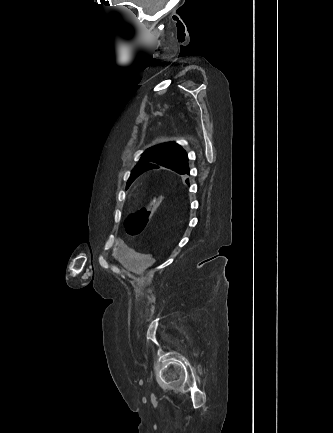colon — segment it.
I'll use <instances>...</instances> for the list:
<instances>
[{
  "mask_svg": "<svg viewBox=\"0 0 333 433\" xmlns=\"http://www.w3.org/2000/svg\"><path fill=\"white\" fill-rule=\"evenodd\" d=\"M162 200V196L154 197L148 206L131 213L127 217L125 221V228L129 236L135 237L140 235L144 231L151 218L157 211L158 207L160 206Z\"/></svg>",
  "mask_w": 333,
  "mask_h": 433,
  "instance_id": "obj_1",
  "label": "colon"
}]
</instances>
